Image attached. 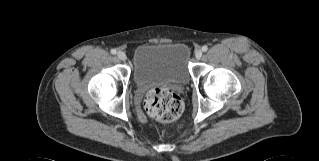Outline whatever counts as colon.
Returning a JSON list of instances; mask_svg holds the SVG:
<instances>
[{
	"label": "colon",
	"mask_w": 319,
	"mask_h": 161,
	"mask_svg": "<svg viewBox=\"0 0 319 161\" xmlns=\"http://www.w3.org/2000/svg\"><path fill=\"white\" fill-rule=\"evenodd\" d=\"M145 111L157 121L169 123L178 120L184 110L182 99L173 91L156 87L144 98Z\"/></svg>",
	"instance_id": "colon-1"
}]
</instances>
